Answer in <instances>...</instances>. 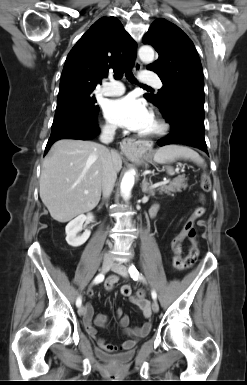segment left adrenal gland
Segmentation results:
<instances>
[{
    "mask_svg": "<svg viewBox=\"0 0 247 385\" xmlns=\"http://www.w3.org/2000/svg\"><path fill=\"white\" fill-rule=\"evenodd\" d=\"M142 192L149 195H154V190L149 186L146 177L142 181Z\"/></svg>",
    "mask_w": 247,
    "mask_h": 385,
    "instance_id": "obj_1",
    "label": "left adrenal gland"
}]
</instances>
